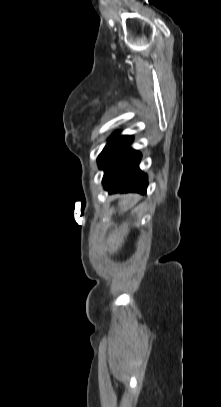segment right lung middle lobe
Here are the masks:
<instances>
[{"label":"right lung middle lobe","mask_w":221,"mask_h":407,"mask_svg":"<svg viewBox=\"0 0 221 407\" xmlns=\"http://www.w3.org/2000/svg\"><path fill=\"white\" fill-rule=\"evenodd\" d=\"M120 132L117 131L109 140L103 151L98 157V164L100 169H105L114 157L120 153L125 144L132 138V136L124 135L119 136Z\"/></svg>","instance_id":"right-lung-middle-lobe-1"}]
</instances>
